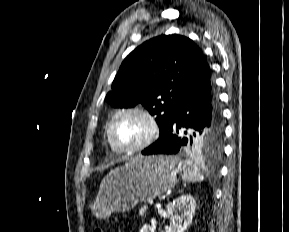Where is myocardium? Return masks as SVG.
Here are the masks:
<instances>
[{
	"mask_svg": "<svg viewBox=\"0 0 289 232\" xmlns=\"http://www.w3.org/2000/svg\"><path fill=\"white\" fill-rule=\"evenodd\" d=\"M125 114H136L142 117L147 125H148V133L146 137L138 144L132 145V146H122L118 144L113 136V127L116 119ZM160 134V125L155 117V115L150 112L148 109L141 107V106H129V107H124L119 110H117L112 118L109 121L108 127H107V137L110 142V144L113 146V148L122 153H134V152H139L147 147H149L151 144H153L157 138L159 137Z\"/></svg>",
	"mask_w": 289,
	"mask_h": 232,
	"instance_id": "obj_1",
	"label": "myocardium"
}]
</instances>
